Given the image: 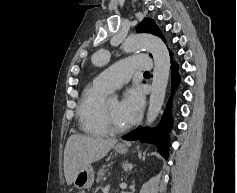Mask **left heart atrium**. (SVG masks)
<instances>
[{
  "label": "left heart atrium",
  "instance_id": "39dd6f15",
  "mask_svg": "<svg viewBox=\"0 0 237 193\" xmlns=\"http://www.w3.org/2000/svg\"><path fill=\"white\" fill-rule=\"evenodd\" d=\"M120 107L127 123L135 122L141 115L144 107V97L140 87H131L121 101Z\"/></svg>",
  "mask_w": 237,
  "mask_h": 193
}]
</instances>
